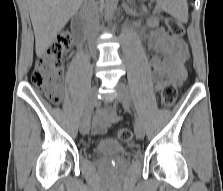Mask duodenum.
<instances>
[{
  "label": "duodenum",
  "instance_id": "410a0bca",
  "mask_svg": "<svg viewBox=\"0 0 223 191\" xmlns=\"http://www.w3.org/2000/svg\"><path fill=\"white\" fill-rule=\"evenodd\" d=\"M72 32L77 37V39H80L82 37L84 30L80 21L73 22Z\"/></svg>",
  "mask_w": 223,
  "mask_h": 191
}]
</instances>
